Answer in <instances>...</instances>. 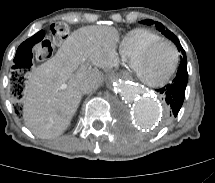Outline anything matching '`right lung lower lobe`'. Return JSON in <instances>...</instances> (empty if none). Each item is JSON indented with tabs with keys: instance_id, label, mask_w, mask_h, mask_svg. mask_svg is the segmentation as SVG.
Returning <instances> with one entry per match:
<instances>
[{
	"instance_id": "obj_1",
	"label": "right lung lower lobe",
	"mask_w": 215,
	"mask_h": 183,
	"mask_svg": "<svg viewBox=\"0 0 215 183\" xmlns=\"http://www.w3.org/2000/svg\"><path fill=\"white\" fill-rule=\"evenodd\" d=\"M21 87H22V84H21V83H17V84H16V87L13 89V95H14L16 98L20 97V93H21V91H22Z\"/></svg>"
}]
</instances>
